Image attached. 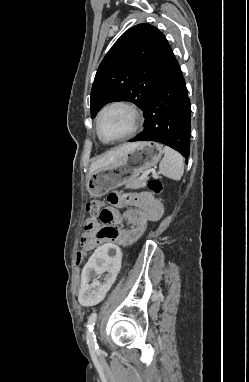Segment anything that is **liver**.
Wrapping results in <instances>:
<instances>
[{
  "label": "liver",
  "instance_id": "liver-1",
  "mask_svg": "<svg viewBox=\"0 0 249 382\" xmlns=\"http://www.w3.org/2000/svg\"><path fill=\"white\" fill-rule=\"evenodd\" d=\"M136 145L137 143H126L104 154L91 164L88 176L90 177L98 169L108 167L109 165L115 163L120 157L128 153Z\"/></svg>",
  "mask_w": 249,
  "mask_h": 382
}]
</instances>
